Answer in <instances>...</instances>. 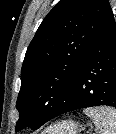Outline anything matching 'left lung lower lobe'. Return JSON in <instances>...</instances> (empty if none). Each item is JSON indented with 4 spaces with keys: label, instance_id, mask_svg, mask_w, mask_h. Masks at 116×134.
<instances>
[{
    "label": "left lung lower lobe",
    "instance_id": "obj_1",
    "mask_svg": "<svg viewBox=\"0 0 116 134\" xmlns=\"http://www.w3.org/2000/svg\"><path fill=\"white\" fill-rule=\"evenodd\" d=\"M93 106L116 107V23L113 13L98 32L74 79L70 98L49 120Z\"/></svg>",
    "mask_w": 116,
    "mask_h": 134
}]
</instances>
